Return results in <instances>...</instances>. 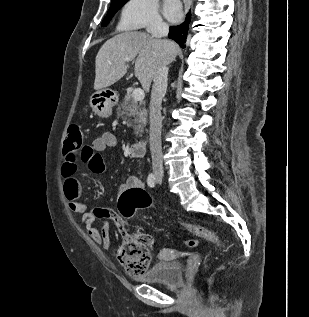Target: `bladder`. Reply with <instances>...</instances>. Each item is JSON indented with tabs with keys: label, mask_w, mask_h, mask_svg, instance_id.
I'll return each instance as SVG.
<instances>
[{
	"label": "bladder",
	"mask_w": 309,
	"mask_h": 317,
	"mask_svg": "<svg viewBox=\"0 0 309 317\" xmlns=\"http://www.w3.org/2000/svg\"><path fill=\"white\" fill-rule=\"evenodd\" d=\"M136 280L143 283L161 284L166 287H177L183 281V264L179 260L159 261L138 275Z\"/></svg>",
	"instance_id": "1"
}]
</instances>
